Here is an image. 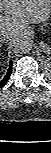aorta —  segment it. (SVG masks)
Returning a JSON list of instances; mask_svg holds the SVG:
<instances>
[{"label":"aorta","mask_w":51,"mask_h":153,"mask_svg":"<svg viewBox=\"0 0 51 153\" xmlns=\"http://www.w3.org/2000/svg\"><path fill=\"white\" fill-rule=\"evenodd\" d=\"M33 47V40L28 35H20L13 40V49L17 53H27Z\"/></svg>","instance_id":"762f6f07"}]
</instances>
